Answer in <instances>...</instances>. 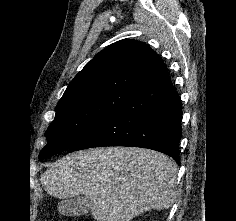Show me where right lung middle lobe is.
Returning a JSON list of instances; mask_svg holds the SVG:
<instances>
[{
    "label": "right lung middle lobe",
    "mask_w": 236,
    "mask_h": 221,
    "mask_svg": "<svg viewBox=\"0 0 236 221\" xmlns=\"http://www.w3.org/2000/svg\"><path fill=\"white\" fill-rule=\"evenodd\" d=\"M135 93L123 89L103 90L57 105L55 119L45 133L47 145L39 158L43 160L70 149Z\"/></svg>",
    "instance_id": "right-lung-middle-lobe-1"
}]
</instances>
